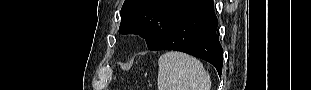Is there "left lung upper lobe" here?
I'll use <instances>...</instances> for the list:
<instances>
[{"label": "left lung upper lobe", "instance_id": "left-lung-upper-lobe-1", "mask_svg": "<svg viewBox=\"0 0 311 90\" xmlns=\"http://www.w3.org/2000/svg\"><path fill=\"white\" fill-rule=\"evenodd\" d=\"M202 0H125L119 33L139 34L152 49L173 23Z\"/></svg>", "mask_w": 311, "mask_h": 90}]
</instances>
